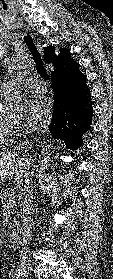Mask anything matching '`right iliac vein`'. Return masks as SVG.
<instances>
[{
    "instance_id": "1",
    "label": "right iliac vein",
    "mask_w": 113,
    "mask_h": 279,
    "mask_svg": "<svg viewBox=\"0 0 113 279\" xmlns=\"http://www.w3.org/2000/svg\"><path fill=\"white\" fill-rule=\"evenodd\" d=\"M21 270H22L23 272H25V273H29L30 267H28V266H23V267L21 268Z\"/></svg>"
}]
</instances>
